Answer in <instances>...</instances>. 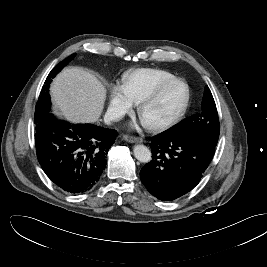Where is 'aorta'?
Segmentation results:
<instances>
[{
  "label": "aorta",
  "instance_id": "obj_1",
  "mask_svg": "<svg viewBox=\"0 0 267 267\" xmlns=\"http://www.w3.org/2000/svg\"><path fill=\"white\" fill-rule=\"evenodd\" d=\"M135 158L142 162L148 163L151 160V151L144 145L138 144L133 148Z\"/></svg>",
  "mask_w": 267,
  "mask_h": 267
}]
</instances>
